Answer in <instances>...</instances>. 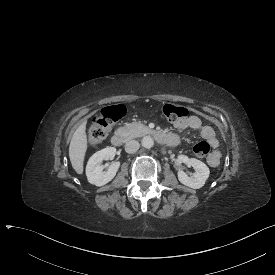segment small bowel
Instances as JSON below:
<instances>
[{"label": "small bowel", "mask_w": 275, "mask_h": 275, "mask_svg": "<svg viewBox=\"0 0 275 275\" xmlns=\"http://www.w3.org/2000/svg\"><path fill=\"white\" fill-rule=\"evenodd\" d=\"M174 125L179 130H184V129L200 130L201 137L207 140L213 148V152L208 158V163L211 166H216L218 164L220 159V151L218 149L219 143L215 137V133L213 129L210 126L202 125L201 119L196 115H190L185 119L178 120L174 122Z\"/></svg>", "instance_id": "obj_1"}]
</instances>
